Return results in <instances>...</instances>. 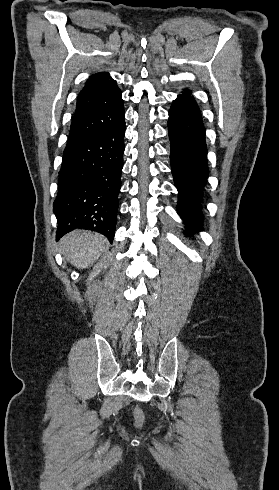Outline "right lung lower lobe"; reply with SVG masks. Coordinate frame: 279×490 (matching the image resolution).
<instances>
[{"instance_id":"right-lung-lower-lobe-1","label":"right lung lower lobe","mask_w":279,"mask_h":490,"mask_svg":"<svg viewBox=\"0 0 279 490\" xmlns=\"http://www.w3.org/2000/svg\"><path fill=\"white\" fill-rule=\"evenodd\" d=\"M125 120L114 128L66 146L53 211L56 240L74 229L96 231L112 243L123 167Z\"/></svg>"}]
</instances>
